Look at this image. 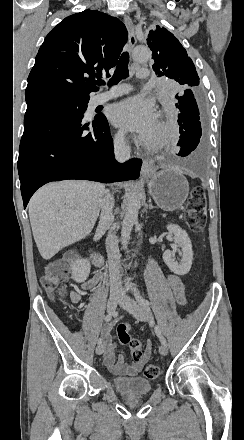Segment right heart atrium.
I'll use <instances>...</instances> for the list:
<instances>
[{"mask_svg": "<svg viewBox=\"0 0 244 440\" xmlns=\"http://www.w3.org/2000/svg\"><path fill=\"white\" fill-rule=\"evenodd\" d=\"M150 138L151 137L149 135H144V139H150ZM114 139H115V143L118 144V145L124 143L125 139H126L125 132L123 130L117 131L115 136H114Z\"/></svg>", "mask_w": 244, "mask_h": 440, "instance_id": "1", "label": "right heart atrium"}]
</instances>
